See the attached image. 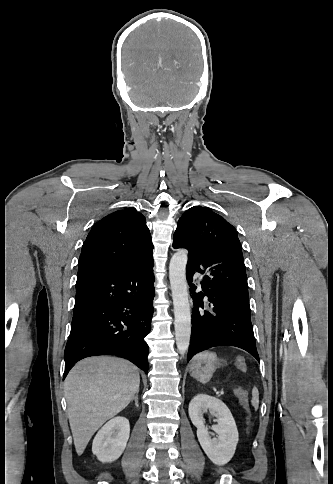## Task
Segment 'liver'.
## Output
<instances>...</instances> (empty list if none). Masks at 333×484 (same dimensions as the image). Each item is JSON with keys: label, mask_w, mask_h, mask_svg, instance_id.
<instances>
[{"label": "liver", "mask_w": 333, "mask_h": 484, "mask_svg": "<svg viewBox=\"0 0 333 484\" xmlns=\"http://www.w3.org/2000/svg\"><path fill=\"white\" fill-rule=\"evenodd\" d=\"M139 384L137 368L120 358L91 357L70 370L65 379V397L79 456L93 434L129 404Z\"/></svg>", "instance_id": "1"}]
</instances>
